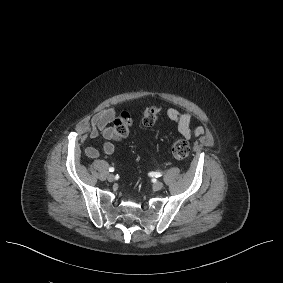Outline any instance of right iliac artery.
Wrapping results in <instances>:
<instances>
[{
	"label": "right iliac artery",
	"instance_id": "obj_1",
	"mask_svg": "<svg viewBox=\"0 0 283 283\" xmlns=\"http://www.w3.org/2000/svg\"><path fill=\"white\" fill-rule=\"evenodd\" d=\"M114 171V168L113 167H110L109 168V172H113Z\"/></svg>",
	"mask_w": 283,
	"mask_h": 283
}]
</instances>
